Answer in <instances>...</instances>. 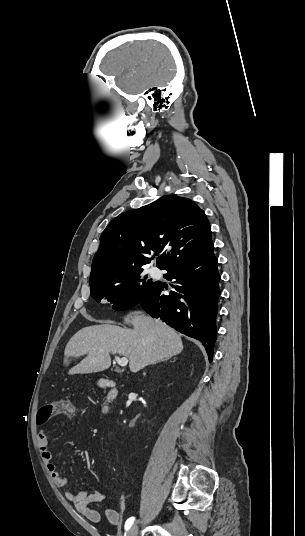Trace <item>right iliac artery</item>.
Returning a JSON list of instances; mask_svg holds the SVG:
<instances>
[{"instance_id": "obj_1", "label": "right iliac artery", "mask_w": 305, "mask_h": 536, "mask_svg": "<svg viewBox=\"0 0 305 536\" xmlns=\"http://www.w3.org/2000/svg\"><path fill=\"white\" fill-rule=\"evenodd\" d=\"M134 520H135L134 517H130L129 519H127V521L125 522V530L126 531H128L130 529V527L134 523Z\"/></svg>"}]
</instances>
